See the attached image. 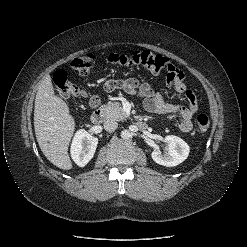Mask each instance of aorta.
Listing matches in <instances>:
<instances>
[{
	"mask_svg": "<svg viewBox=\"0 0 247 247\" xmlns=\"http://www.w3.org/2000/svg\"><path fill=\"white\" fill-rule=\"evenodd\" d=\"M121 137L123 139H129L131 137V132L125 129L121 132Z\"/></svg>",
	"mask_w": 247,
	"mask_h": 247,
	"instance_id": "762f6f07",
	"label": "aorta"
}]
</instances>
